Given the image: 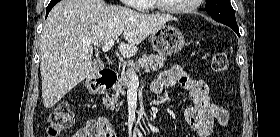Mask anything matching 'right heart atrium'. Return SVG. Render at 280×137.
<instances>
[{"label":"right heart atrium","mask_w":280,"mask_h":137,"mask_svg":"<svg viewBox=\"0 0 280 137\" xmlns=\"http://www.w3.org/2000/svg\"><path fill=\"white\" fill-rule=\"evenodd\" d=\"M132 3H137L139 0H131Z\"/></svg>","instance_id":"1"}]
</instances>
